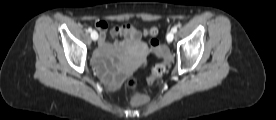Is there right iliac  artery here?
I'll return each instance as SVG.
<instances>
[{
	"label": "right iliac artery",
	"mask_w": 276,
	"mask_h": 120,
	"mask_svg": "<svg viewBox=\"0 0 276 120\" xmlns=\"http://www.w3.org/2000/svg\"><path fill=\"white\" fill-rule=\"evenodd\" d=\"M87 31H88V32H92V28L89 27V28L87 29Z\"/></svg>",
	"instance_id": "obj_1"
}]
</instances>
